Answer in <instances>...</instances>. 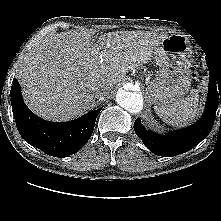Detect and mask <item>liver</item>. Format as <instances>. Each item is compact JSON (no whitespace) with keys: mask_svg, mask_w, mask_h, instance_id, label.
<instances>
[{"mask_svg":"<svg viewBox=\"0 0 221 221\" xmlns=\"http://www.w3.org/2000/svg\"><path fill=\"white\" fill-rule=\"evenodd\" d=\"M166 38L153 32L125 31L101 35L96 42L82 32L46 36L28 51L18 71L27 106L40 117L67 121L90 110L94 90H109L129 71L148 63Z\"/></svg>","mask_w":221,"mask_h":221,"instance_id":"obj_1","label":"liver"}]
</instances>
